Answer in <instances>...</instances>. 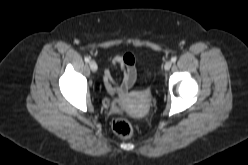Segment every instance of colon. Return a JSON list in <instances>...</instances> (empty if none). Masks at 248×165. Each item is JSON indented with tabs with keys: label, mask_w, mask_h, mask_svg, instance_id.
I'll use <instances>...</instances> for the list:
<instances>
[{
	"label": "colon",
	"mask_w": 248,
	"mask_h": 165,
	"mask_svg": "<svg viewBox=\"0 0 248 165\" xmlns=\"http://www.w3.org/2000/svg\"><path fill=\"white\" fill-rule=\"evenodd\" d=\"M112 129L116 135L122 138H130L133 134V126L125 118H116L112 123Z\"/></svg>",
	"instance_id": "5ec220e1"
}]
</instances>
